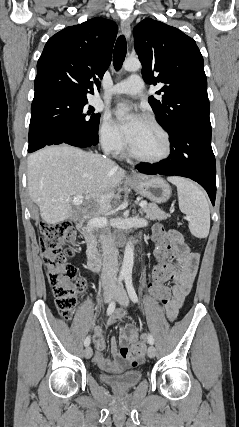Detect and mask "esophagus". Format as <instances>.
I'll return each instance as SVG.
<instances>
[{
  "mask_svg": "<svg viewBox=\"0 0 239 427\" xmlns=\"http://www.w3.org/2000/svg\"><path fill=\"white\" fill-rule=\"evenodd\" d=\"M121 30L125 35L126 39L129 40L131 34L130 22L128 20L121 21ZM132 178V177H130Z\"/></svg>",
  "mask_w": 239,
  "mask_h": 427,
  "instance_id": "esophagus-1",
  "label": "esophagus"
}]
</instances>
